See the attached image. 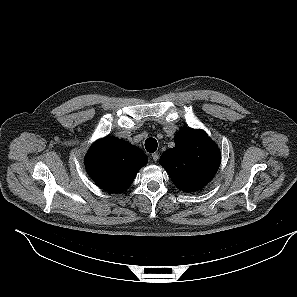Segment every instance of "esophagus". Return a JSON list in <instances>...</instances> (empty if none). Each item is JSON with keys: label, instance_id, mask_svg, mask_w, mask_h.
Returning <instances> with one entry per match:
<instances>
[{"label": "esophagus", "instance_id": "obj_1", "mask_svg": "<svg viewBox=\"0 0 297 297\" xmlns=\"http://www.w3.org/2000/svg\"><path fill=\"white\" fill-rule=\"evenodd\" d=\"M152 159H153V161L156 162L159 159V154L158 153H153L152 154Z\"/></svg>", "mask_w": 297, "mask_h": 297}]
</instances>
